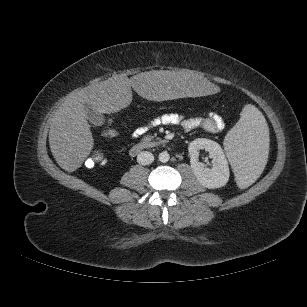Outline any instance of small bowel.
<instances>
[{"instance_id": "1", "label": "small bowel", "mask_w": 307, "mask_h": 307, "mask_svg": "<svg viewBox=\"0 0 307 307\" xmlns=\"http://www.w3.org/2000/svg\"><path fill=\"white\" fill-rule=\"evenodd\" d=\"M158 126H178L186 131L202 128L207 132L217 133L225 128V122L219 114L213 112L209 113L205 118H184L177 113H164L135 126L131 131V135L133 138H138Z\"/></svg>"}]
</instances>
